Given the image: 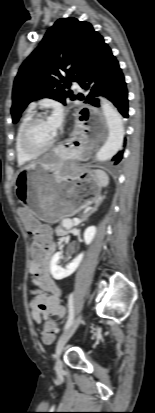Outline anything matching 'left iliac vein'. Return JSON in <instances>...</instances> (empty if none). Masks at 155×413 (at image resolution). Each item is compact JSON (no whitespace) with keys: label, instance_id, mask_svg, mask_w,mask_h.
Masks as SVG:
<instances>
[{"label":"left iliac vein","instance_id":"left-iliac-vein-1","mask_svg":"<svg viewBox=\"0 0 155 413\" xmlns=\"http://www.w3.org/2000/svg\"><path fill=\"white\" fill-rule=\"evenodd\" d=\"M82 319V315H79L73 322L72 324L66 329V331L60 336L57 345H56V352H55V371L58 375H62L63 373V368H62V362L60 360V356L62 353V350L67 343V341L70 339V337L74 334L76 331L77 327L79 326L80 322Z\"/></svg>","mask_w":155,"mask_h":413}]
</instances>
